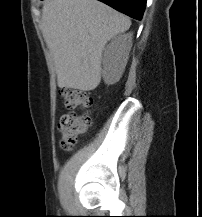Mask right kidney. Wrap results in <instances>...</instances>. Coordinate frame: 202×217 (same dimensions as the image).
Wrapping results in <instances>:
<instances>
[{
	"label": "right kidney",
	"mask_w": 202,
	"mask_h": 217,
	"mask_svg": "<svg viewBox=\"0 0 202 217\" xmlns=\"http://www.w3.org/2000/svg\"><path fill=\"white\" fill-rule=\"evenodd\" d=\"M132 47V34L114 37L107 45L103 57V79L108 85L118 82L125 70Z\"/></svg>",
	"instance_id": "ca27d5eb"
}]
</instances>
